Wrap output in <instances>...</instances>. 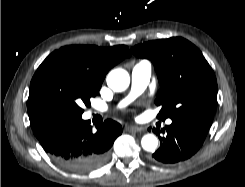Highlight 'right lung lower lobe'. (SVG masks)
I'll return each instance as SVG.
<instances>
[{
  "instance_id": "98d812e1",
  "label": "right lung lower lobe",
  "mask_w": 245,
  "mask_h": 187,
  "mask_svg": "<svg viewBox=\"0 0 245 187\" xmlns=\"http://www.w3.org/2000/svg\"><path fill=\"white\" fill-rule=\"evenodd\" d=\"M32 129L50 158L72 172L100 167L114 140L122 133L121 125L113 120H106L93 132L90 122L81 116L55 117Z\"/></svg>"
}]
</instances>
